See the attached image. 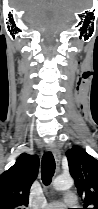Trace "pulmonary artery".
Returning <instances> with one entry per match:
<instances>
[{
    "label": "pulmonary artery",
    "instance_id": "1",
    "mask_svg": "<svg viewBox=\"0 0 98 209\" xmlns=\"http://www.w3.org/2000/svg\"><path fill=\"white\" fill-rule=\"evenodd\" d=\"M78 199L74 192H68L63 201L50 202L45 206V209H66L77 205Z\"/></svg>",
    "mask_w": 98,
    "mask_h": 209
}]
</instances>
